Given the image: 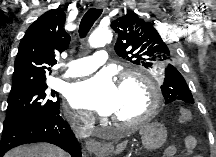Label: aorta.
Returning a JSON list of instances; mask_svg holds the SVG:
<instances>
[{"label":"aorta","instance_id":"aorta-1","mask_svg":"<svg viewBox=\"0 0 216 157\" xmlns=\"http://www.w3.org/2000/svg\"><path fill=\"white\" fill-rule=\"evenodd\" d=\"M112 39V34L109 29L98 28L89 37V44L91 47H103Z\"/></svg>","mask_w":216,"mask_h":157}]
</instances>
